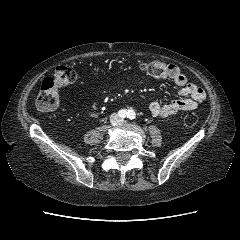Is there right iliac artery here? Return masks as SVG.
I'll use <instances>...</instances> for the list:
<instances>
[{"instance_id": "obj_1", "label": "right iliac artery", "mask_w": 240, "mask_h": 240, "mask_svg": "<svg viewBox=\"0 0 240 240\" xmlns=\"http://www.w3.org/2000/svg\"><path fill=\"white\" fill-rule=\"evenodd\" d=\"M128 112L124 109L120 110L118 112V115L121 117V118H125L127 116Z\"/></svg>"}]
</instances>
